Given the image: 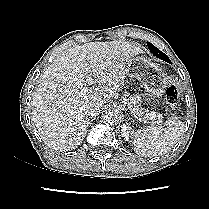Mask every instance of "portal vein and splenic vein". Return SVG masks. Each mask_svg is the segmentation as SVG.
<instances>
[{
    "mask_svg": "<svg viewBox=\"0 0 209 209\" xmlns=\"http://www.w3.org/2000/svg\"><path fill=\"white\" fill-rule=\"evenodd\" d=\"M89 92V89L87 87H83L80 91H76V95L81 97L87 95ZM132 114L136 117L134 111H131Z\"/></svg>",
    "mask_w": 209,
    "mask_h": 209,
    "instance_id": "obj_1",
    "label": "portal vein and splenic vein"
}]
</instances>
